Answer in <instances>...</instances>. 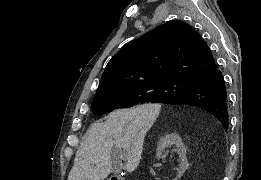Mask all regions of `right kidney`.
<instances>
[{
	"label": "right kidney",
	"mask_w": 261,
	"mask_h": 180,
	"mask_svg": "<svg viewBox=\"0 0 261 180\" xmlns=\"http://www.w3.org/2000/svg\"><path fill=\"white\" fill-rule=\"evenodd\" d=\"M171 146H176V150L178 152V156L180 160L178 178H181L185 170H188L189 164L186 156L187 150L179 134H167V136H164V138L160 140L159 146L157 148V158H162V156H164L165 154L166 148H171Z\"/></svg>",
	"instance_id": "1"
}]
</instances>
